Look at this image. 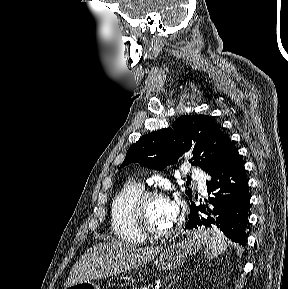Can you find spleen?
<instances>
[{"label":"spleen","mask_w":288,"mask_h":289,"mask_svg":"<svg viewBox=\"0 0 288 289\" xmlns=\"http://www.w3.org/2000/svg\"><path fill=\"white\" fill-rule=\"evenodd\" d=\"M197 241L204 246L205 256L212 259L227 250V243L220 230L217 228L201 227L197 231H191Z\"/></svg>","instance_id":"obj_1"}]
</instances>
